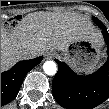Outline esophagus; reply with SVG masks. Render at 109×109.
<instances>
[{"mask_svg":"<svg viewBox=\"0 0 109 109\" xmlns=\"http://www.w3.org/2000/svg\"><path fill=\"white\" fill-rule=\"evenodd\" d=\"M45 57L48 58V55L46 54Z\"/></svg>","mask_w":109,"mask_h":109,"instance_id":"esophagus-1","label":"esophagus"}]
</instances>
